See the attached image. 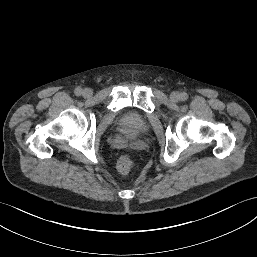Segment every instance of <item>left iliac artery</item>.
Here are the masks:
<instances>
[{"mask_svg":"<svg viewBox=\"0 0 257 257\" xmlns=\"http://www.w3.org/2000/svg\"><path fill=\"white\" fill-rule=\"evenodd\" d=\"M180 99L182 100V101H186L187 99H188V95H187V93H181V95H180Z\"/></svg>","mask_w":257,"mask_h":257,"instance_id":"obj_1","label":"left iliac artery"}]
</instances>
